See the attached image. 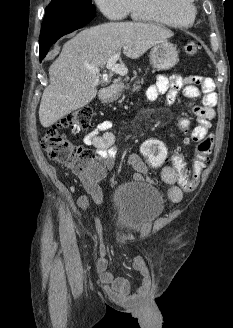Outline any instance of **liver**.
<instances>
[{
	"mask_svg": "<svg viewBox=\"0 0 233 328\" xmlns=\"http://www.w3.org/2000/svg\"><path fill=\"white\" fill-rule=\"evenodd\" d=\"M173 35L160 25L142 22H109L79 32L64 44L49 68L50 84L39 108L41 125L49 127L95 98L99 73L87 66L103 67L122 47L125 56L137 59Z\"/></svg>",
	"mask_w": 233,
	"mask_h": 328,
	"instance_id": "liver-1",
	"label": "liver"
}]
</instances>
